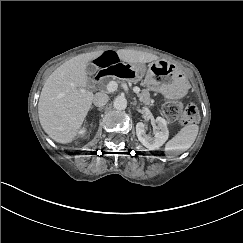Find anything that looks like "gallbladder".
<instances>
[{
    "instance_id": "bac80fb5",
    "label": "gallbladder",
    "mask_w": 243,
    "mask_h": 243,
    "mask_svg": "<svg viewBox=\"0 0 243 243\" xmlns=\"http://www.w3.org/2000/svg\"><path fill=\"white\" fill-rule=\"evenodd\" d=\"M98 70V67L92 63H89L87 66H86V73L89 75V76H92L93 74H95Z\"/></svg>"
}]
</instances>
